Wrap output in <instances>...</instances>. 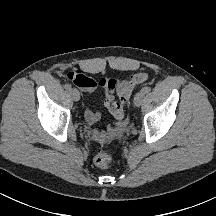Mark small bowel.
<instances>
[{
    "label": "small bowel",
    "mask_w": 216,
    "mask_h": 216,
    "mask_svg": "<svg viewBox=\"0 0 216 216\" xmlns=\"http://www.w3.org/2000/svg\"><path fill=\"white\" fill-rule=\"evenodd\" d=\"M74 84L86 93H91L98 87V83L94 79L87 77L83 74H82V79L79 82L76 83L74 82ZM105 106L108 108V104L106 100H105ZM85 119L89 124H95L98 121H100L101 113L91 108H87L85 111ZM121 129H122V125L120 124L111 126L105 130L93 129L91 131V136L94 140L103 142L109 138L116 136L121 131Z\"/></svg>",
    "instance_id": "1"
}]
</instances>
